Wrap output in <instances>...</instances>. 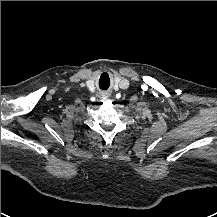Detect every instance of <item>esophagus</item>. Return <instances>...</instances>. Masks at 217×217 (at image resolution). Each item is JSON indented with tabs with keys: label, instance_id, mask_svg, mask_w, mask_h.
<instances>
[{
	"label": "esophagus",
	"instance_id": "esophagus-1",
	"mask_svg": "<svg viewBox=\"0 0 217 217\" xmlns=\"http://www.w3.org/2000/svg\"><path fill=\"white\" fill-rule=\"evenodd\" d=\"M109 98L108 94L103 95V97H101L102 100H107Z\"/></svg>",
	"mask_w": 217,
	"mask_h": 217
}]
</instances>
